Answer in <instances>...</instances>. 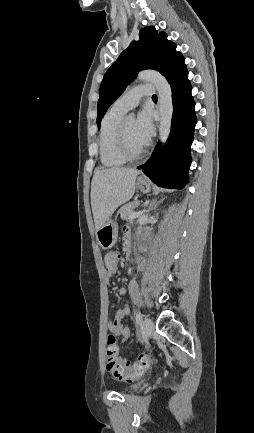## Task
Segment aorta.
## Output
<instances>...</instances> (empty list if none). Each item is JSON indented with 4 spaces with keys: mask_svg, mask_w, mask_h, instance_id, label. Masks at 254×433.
Here are the masks:
<instances>
[{
    "mask_svg": "<svg viewBox=\"0 0 254 433\" xmlns=\"http://www.w3.org/2000/svg\"><path fill=\"white\" fill-rule=\"evenodd\" d=\"M137 80L151 82L158 92L160 124L159 137L164 145L171 132L173 116L172 90L166 78L157 71L148 70L138 74ZM130 118L133 116L130 115Z\"/></svg>",
    "mask_w": 254,
    "mask_h": 433,
    "instance_id": "obj_1",
    "label": "aorta"
}]
</instances>
